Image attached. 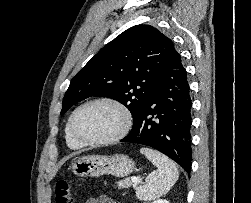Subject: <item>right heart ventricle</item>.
<instances>
[{"instance_id": "e07e8e85", "label": "right heart ventricle", "mask_w": 251, "mask_h": 203, "mask_svg": "<svg viewBox=\"0 0 251 203\" xmlns=\"http://www.w3.org/2000/svg\"><path fill=\"white\" fill-rule=\"evenodd\" d=\"M65 140H66L67 145L71 149H74V150L80 149L84 146L72 137L69 130V121L66 123V126H65Z\"/></svg>"}]
</instances>
